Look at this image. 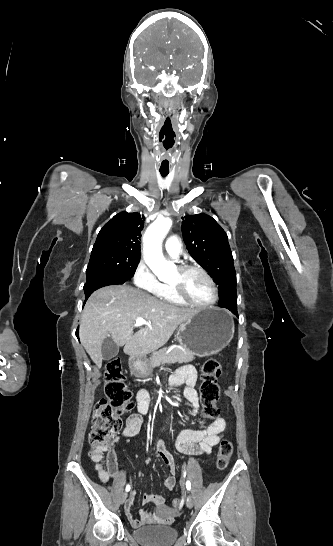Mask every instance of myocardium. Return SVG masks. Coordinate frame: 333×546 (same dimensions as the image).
<instances>
[{"instance_id":"obj_1","label":"myocardium","mask_w":333,"mask_h":546,"mask_svg":"<svg viewBox=\"0 0 333 546\" xmlns=\"http://www.w3.org/2000/svg\"><path fill=\"white\" fill-rule=\"evenodd\" d=\"M193 270L200 272L207 279V281L209 282L213 290V298L206 303L196 302L187 296L181 283H174L171 285L175 295L185 304H189L195 307L206 308V307H211L215 305L219 299V290L212 276L203 267L199 265H195V264H188V265L180 266L177 271L179 272L180 275H184L187 272L193 271Z\"/></svg>"}]
</instances>
